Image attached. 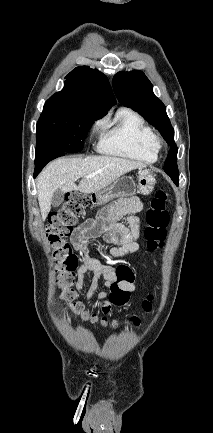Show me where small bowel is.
Segmentation results:
<instances>
[{"label": "small bowel", "mask_w": 213, "mask_h": 433, "mask_svg": "<svg viewBox=\"0 0 213 433\" xmlns=\"http://www.w3.org/2000/svg\"><path fill=\"white\" fill-rule=\"evenodd\" d=\"M143 205L138 198L117 200L106 213L99 218H90L75 228L70 235V241L77 252V264L74 269L75 288L84 287V277L87 272L92 274V280L86 299L96 305L104 314H108L112 303L107 300L112 286L116 283V270L110 263H104L93 256L92 250L101 243H110L109 255L120 258L127 254L136 253L140 249L141 223L138 214ZM100 284L108 291L96 293ZM126 290L134 291L135 284H120Z\"/></svg>", "instance_id": "c3829d8e"}]
</instances>
